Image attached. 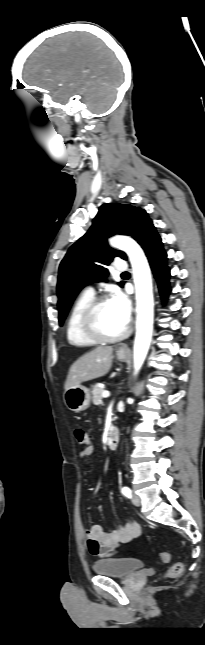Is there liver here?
Returning <instances> with one entry per match:
<instances>
[{
  "mask_svg": "<svg viewBox=\"0 0 205 645\" xmlns=\"http://www.w3.org/2000/svg\"><path fill=\"white\" fill-rule=\"evenodd\" d=\"M112 353L111 346H99L76 360L69 369L65 391L70 387L106 375L112 365Z\"/></svg>",
  "mask_w": 205,
  "mask_h": 645,
  "instance_id": "6515ba94",
  "label": "liver"
}]
</instances>
